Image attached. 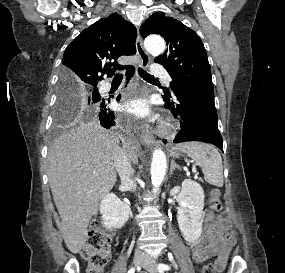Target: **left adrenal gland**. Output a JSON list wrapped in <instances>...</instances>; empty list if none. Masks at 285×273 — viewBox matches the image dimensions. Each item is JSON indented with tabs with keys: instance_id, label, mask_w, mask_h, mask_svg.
Wrapping results in <instances>:
<instances>
[{
	"instance_id": "left-adrenal-gland-1",
	"label": "left adrenal gland",
	"mask_w": 285,
	"mask_h": 273,
	"mask_svg": "<svg viewBox=\"0 0 285 273\" xmlns=\"http://www.w3.org/2000/svg\"><path fill=\"white\" fill-rule=\"evenodd\" d=\"M175 168H178L179 170H181L180 166L178 164H176L174 162V160L171 161V166H170V174H172L173 170H175Z\"/></svg>"
}]
</instances>
